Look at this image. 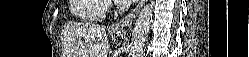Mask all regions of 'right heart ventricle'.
I'll return each mask as SVG.
<instances>
[{"instance_id": "1", "label": "right heart ventricle", "mask_w": 249, "mask_h": 57, "mask_svg": "<svg viewBox=\"0 0 249 57\" xmlns=\"http://www.w3.org/2000/svg\"><path fill=\"white\" fill-rule=\"evenodd\" d=\"M106 9L107 3L104 0H72L70 4L71 13L84 21L101 20Z\"/></svg>"}]
</instances>
